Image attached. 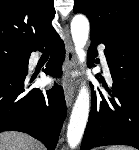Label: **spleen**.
<instances>
[{"instance_id": "spleen-1", "label": "spleen", "mask_w": 139, "mask_h": 150, "mask_svg": "<svg viewBox=\"0 0 139 150\" xmlns=\"http://www.w3.org/2000/svg\"><path fill=\"white\" fill-rule=\"evenodd\" d=\"M106 150H133V149L126 146H111L108 147Z\"/></svg>"}]
</instances>
